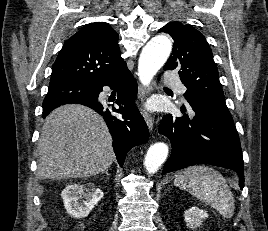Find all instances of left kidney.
<instances>
[{
	"label": "left kidney",
	"mask_w": 268,
	"mask_h": 231,
	"mask_svg": "<svg viewBox=\"0 0 268 231\" xmlns=\"http://www.w3.org/2000/svg\"><path fill=\"white\" fill-rule=\"evenodd\" d=\"M185 222L189 228L200 227L203 219L208 218V213L198 207H191L184 213Z\"/></svg>",
	"instance_id": "5707ae66"
}]
</instances>
